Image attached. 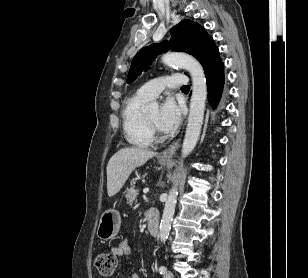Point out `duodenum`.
<instances>
[{
	"label": "duodenum",
	"instance_id": "410a0bca",
	"mask_svg": "<svg viewBox=\"0 0 308 278\" xmlns=\"http://www.w3.org/2000/svg\"><path fill=\"white\" fill-rule=\"evenodd\" d=\"M148 223V231L152 237H157L159 232V223L156 214L153 211H149L146 214Z\"/></svg>",
	"mask_w": 308,
	"mask_h": 278
}]
</instances>
